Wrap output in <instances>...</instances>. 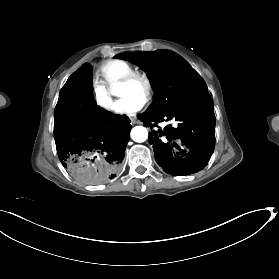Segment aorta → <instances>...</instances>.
Here are the masks:
<instances>
[{
    "mask_svg": "<svg viewBox=\"0 0 279 279\" xmlns=\"http://www.w3.org/2000/svg\"><path fill=\"white\" fill-rule=\"evenodd\" d=\"M111 93L116 94L115 87L112 89ZM130 136L135 142L141 143L146 141V139L148 138V131L143 126H135L134 128H132Z\"/></svg>",
    "mask_w": 279,
    "mask_h": 279,
    "instance_id": "aorta-1",
    "label": "aorta"
}]
</instances>
